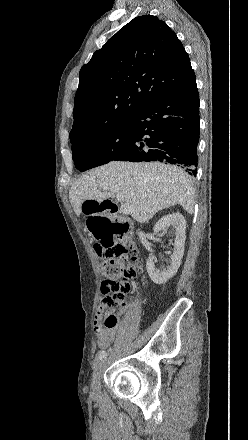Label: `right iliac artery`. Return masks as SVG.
<instances>
[{
    "label": "right iliac artery",
    "mask_w": 248,
    "mask_h": 440,
    "mask_svg": "<svg viewBox=\"0 0 248 440\" xmlns=\"http://www.w3.org/2000/svg\"><path fill=\"white\" fill-rule=\"evenodd\" d=\"M107 356V352L106 351H101L100 353H99V358L100 359H103V358H105Z\"/></svg>",
    "instance_id": "1"
}]
</instances>
